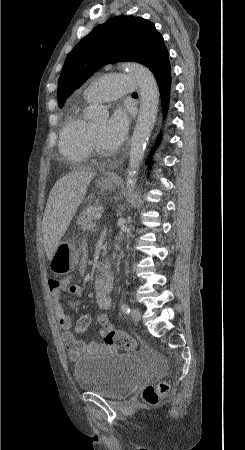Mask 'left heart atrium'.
I'll return each mask as SVG.
<instances>
[{"label": "left heart atrium", "mask_w": 245, "mask_h": 450, "mask_svg": "<svg viewBox=\"0 0 245 450\" xmlns=\"http://www.w3.org/2000/svg\"><path fill=\"white\" fill-rule=\"evenodd\" d=\"M130 117L124 108L116 109L105 128V142L111 148H118L125 140Z\"/></svg>", "instance_id": "39dd6f15"}]
</instances>
